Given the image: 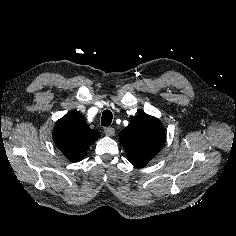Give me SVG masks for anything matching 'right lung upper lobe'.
Listing matches in <instances>:
<instances>
[{"mask_svg":"<svg viewBox=\"0 0 236 236\" xmlns=\"http://www.w3.org/2000/svg\"><path fill=\"white\" fill-rule=\"evenodd\" d=\"M99 133L85 123L83 116L73 111L57 120L53 140L60 151L71 161H80Z\"/></svg>","mask_w":236,"mask_h":236,"instance_id":"right-lung-upper-lobe-1","label":"right lung upper lobe"}]
</instances>
